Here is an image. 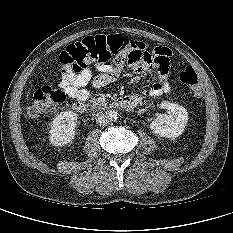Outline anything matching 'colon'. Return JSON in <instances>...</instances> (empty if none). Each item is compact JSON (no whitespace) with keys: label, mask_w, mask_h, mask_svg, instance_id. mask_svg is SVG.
Segmentation results:
<instances>
[{"label":"colon","mask_w":233,"mask_h":233,"mask_svg":"<svg viewBox=\"0 0 233 233\" xmlns=\"http://www.w3.org/2000/svg\"><path fill=\"white\" fill-rule=\"evenodd\" d=\"M133 39L122 35L87 37L80 42L69 45L59 57L63 72L79 73L90 64H108L116 60L126 61V55L136 44ZM150 52V51H149ZM179 79L195 96L201 95V84L195 70L188 66L180 74ZM62 88L44 86L33 93L28 108L30 116H38L55 105L65 101Z\"/></svg>","instance_id":"1"}]
</instances>
